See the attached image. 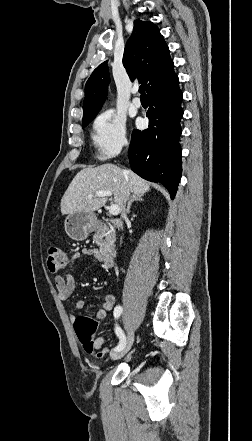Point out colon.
Here are the masks:
<instances>
[{"label": "colon", "mask_w": 252, "mask_h": 441, "mask_svg": "<svg viewBox=\"0 0 252 441\" xmlns=\"http://www.w3.org/2000/svg\"><path fill=\"white\" fill-rule=\"evenodd\" d=\"M68 264L66 253L58 247H50L47 252V268L55 273ZM99 319L94 316H80L74 321L76 334L83 345L85 351L94 355L96 358H102L105 351L98 349L93 341V335L97 329Z\"/></svg>", "instance_id": "obj_1"}]
</instances>
